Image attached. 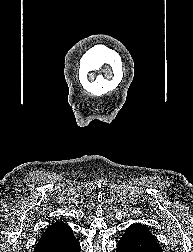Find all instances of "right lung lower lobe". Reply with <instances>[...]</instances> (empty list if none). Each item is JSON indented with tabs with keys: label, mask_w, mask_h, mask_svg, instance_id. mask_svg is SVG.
Instances as JSON below:
<instances>
[{
	"label": "right lung lower lobe",
	"mask_w": 193,
	"mask_h": 252,
	"mask_svg": "<svg viewBox=\"0 0 193 252\" xmlns=\"http://www.w3.org/2000/svg\"><path fill=\"white\" fill-rule=\"evenodd\" d=\"M34 252H80V245L71 229L59 230L40 239Z\"/></svg>",
	"instance_id": "1"
}]
</instances>
